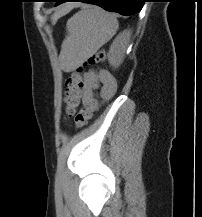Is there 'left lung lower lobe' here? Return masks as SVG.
I'll list each match as a JSON object with an SVG mask.
<instances>
[{
  "label": "left lung lower lobe",
  "mask_w": 202,
  "mask_h": 217,
  "mask_svg": "<svg viewBox=\"0 0 202 217\" xmlns=\"http://www.w3.org/2000/svg\"><path fill=\"white\" fill-rule=\"evenodd\" d=\"M68 1L95 4L108 11L117 12L122 15L139 13L144 3V0H55V6Z\"/></svg>",
  "instance_id": "obj_1"
}]
</instances>
